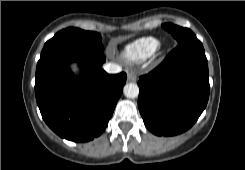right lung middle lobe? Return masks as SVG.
<instances>
[{
	"label": "right lung middle lobe",
	"mask_w": 245,
	"mask_h": 170,
	"mask_svg": "<svg viewBox=\"0 0 245 170\" xmlns=\"http://www.w3.org/2000/svg\"><path fill=\"white\" fill-rule=\"evenodd\" d=\"M70 49L96 50L102 52L104 47L99 33L70 27L59 31L52 39L45 43L37 66L41 65L58 52Z\"/></svg>",
	"instance_id": "right-lung-middle-lobe-1"
}]
</instances>
